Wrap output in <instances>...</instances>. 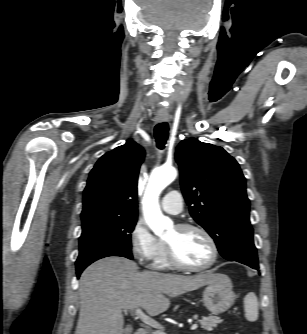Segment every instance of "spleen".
<instances>
[{
	"instance_id": "spleen-1",
	"label": "spleen",
	"mask_w": 307,
	"mask_h": 334,
	"mask_svg": "<svg viewBox=\"0 0 307 334\" xmlns=\"http://www.w3.org/2000/svg\"><path fill=\"white\" fill-rule=\"evenodd\" d=\"M258 299L254 292H249L244 298L245 317L248 321L254 322L258 319Z\"/></svg>"
}]
</instances>
